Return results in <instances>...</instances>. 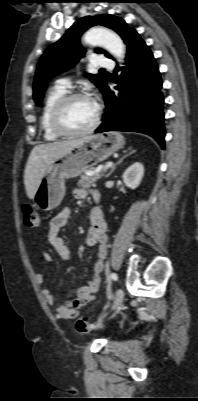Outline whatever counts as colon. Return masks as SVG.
<instances>
[{
  "instance_id": "1",
  "label": "colon",
  "mask_w": 198,
  "mask_h": 401,
  "mask_svg": "<svg viewBox=\"0 0 198 401\" xmlns=\"http://www.w3.org/2000/svg\"><path fill=\"white\" fill-rule=\"evenodd\" d=\"M25 225L30 228H37L40 225L39 213L30 206H25L23 208ZM87 323H92L88 317H83L78 321L79 325H84Z\"/></svg>"
}]
</instances>
